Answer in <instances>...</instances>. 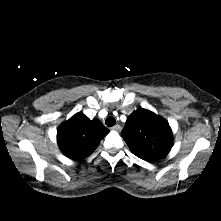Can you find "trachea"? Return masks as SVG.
Returning a JSON list of instances; mask_svg holds the SVG:
<instances>
[{
  "label": "trachea",
  "instance_id": "3493384b",
  "mask_svg": "<svg viewBox=\"0 0 221 221\" xmlns=\"http://www.w3.org/2000/svg\"><path fill=\"white\" fill-rule=\"evenodd\" d=\"M115 122H116V120L114 117H108L105 121V123L108 127L114 126Z\"/></svg>",
  "mask_w": 221,
  "mask_h": 221
}]
</instances>
